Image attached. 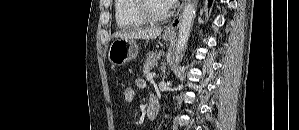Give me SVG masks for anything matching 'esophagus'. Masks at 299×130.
<instances>
[{
  "label": "esophagus",
  "mask_w": 299,
  "mask_h": 130,
  "mask_svg": "<svg viewBox=\"0 0 299 130\" xmlns=\"http://www.w3.org/2000/svg\"><path fill=\"white\" fill-rule=\"evenodd\" d=\"M184 5H185V0L182 1L180 7L178 8L175 18L166 28V30H165L166 33H168V34L175 33L176 29L178 28V26L180 25L181 20H182V10H183Z\"/></svg>",
  "instance_id": "34e87169"
}]
</instances>
